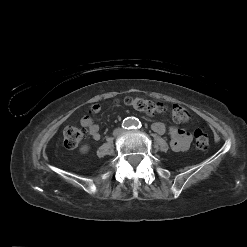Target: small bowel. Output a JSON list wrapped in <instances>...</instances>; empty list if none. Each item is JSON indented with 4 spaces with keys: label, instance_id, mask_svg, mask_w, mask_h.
Returning <instances> with one entry per match:
<instances>
[{
    "label": "small bowel",
    "instance_id": "obj_1",
    "mask_svg": "<svg viewBox=\"0 0 247 247\" xmlns=\"http://www.w3.org/2000/svg\"><path fill=\"white\" fill-rule=\"evenodd\" d=\"M100 106L97 104L92 105L89 108V114L94 115L100 111ZM90 115H86L81 118L80 124L84 127L87 133L94 139H100L99 126L93 121ZM152 130L157 134H164L166 131L170 136V146L173 151L180 152L189 148L192 141V135L183 129L176 126H170L168 129L162 122H154L152 124Z\"/></svg>",
    "mask_w": 247,
    "mask_h": 247
}]
</instances>
